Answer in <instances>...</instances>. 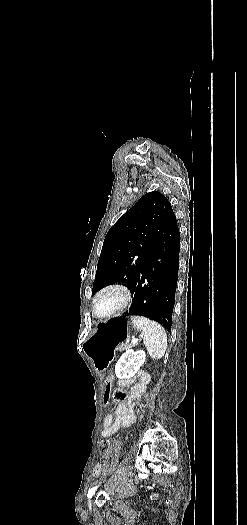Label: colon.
Instances as JSON below:
<instances>
[{
	"instance_id": "1",
	"label": "colon",
	"mask_w": 247,
	"mask_h": 525,
	"mask_svg": "<svg viewBox=\"0 0 247 525\" xmlns=\"http://www.w3.org/2000/svg\"><path fill=\"white\" fill-rule=\"evenodd\" d=\"M116 381H117V378L113 374H108L104 378V383H103L104 390L101 394V399H102L103 405L105 406H108L111 403L110 398L113 395V392H112L113 386L116 383ZM112 445L113 443L109 439L104 440L100 443V452H101V457L103 460H110V451H111Z\"/></svg>"
}]
</instances>
